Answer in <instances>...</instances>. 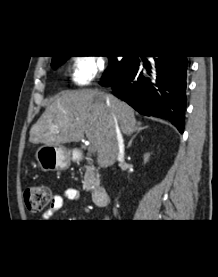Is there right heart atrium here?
<instances>
[{
    "mask_svg": "<svg viewBox=\"0 0 218 277\" xmlns=\"http://www.w3.org/2000/svg\"><path fill=\"white\" fill-rule=\"evenodd\" d=\"M104 59L97 55H82L74 58L70 80L83 87L98 79L104 71Z\"/></svg>",
    "mask_w": 218,
    "mask_h": 277,
    "instance_id": "1",
    "label": "right heart atrium"
}]
</instances>
